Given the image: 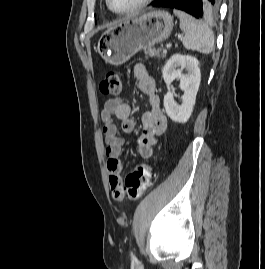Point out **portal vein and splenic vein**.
<instances>
[{"label": "portal vein and splenic vein", "mask_w": 265, "mask_h": 269, "mask_svg": "<svg viewBox=\"0 0 265 269\" xmlns=\"http://www.w3.org/2000/svg\"><path fill=\"white\" fill-rule=\"evenodd\" d=\"M171 46H172V44L169 43V44L166 45V48H167V49H170ZM167 49H164L163 52L166 53V52H167Z\"/></svg>", "instance_id": "obj_1"}]
</instances>
